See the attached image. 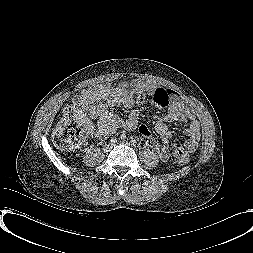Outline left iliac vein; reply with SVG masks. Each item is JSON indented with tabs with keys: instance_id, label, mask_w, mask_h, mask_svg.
<instances>
[{
	"instance_id": "4c4485c4",
	"label": "left iliac vein",
	"mask_w": 253,
	"mask_h": 253,
	"mask_svg": "<svg viewBox=\"0 0 253 253\" xmlns=\"http://www.w3.org/2000/svg\"><path fill=\"white\" fill-rule=\"evenodd\" d=\"M123 144H125V145H129V143H128L127 141H124V142H123Z\"/></svg>"
}]
</instances>
